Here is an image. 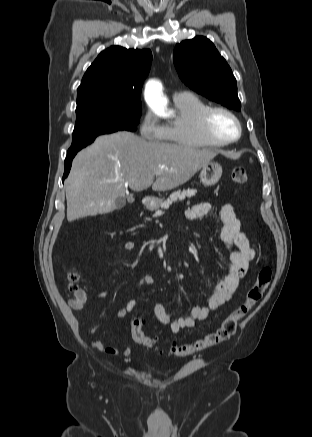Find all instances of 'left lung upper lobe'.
<instances>
[{"label": "left lung upper lobe", "instance_id": "1", "mask_svg": "<svg viewBox=\"0 0 312 437\" xmlns=\"http://www.w3.org/2000/svg\"><path fill=\"white\" fill-rule=\"evenodd\" d=\"M174 64L181 80L192 90L230 109L241 110L236 79L209 39L197 36L177 44Z\"/></svg>", "mask_w": 312, "mask_h": 437}]
</instances>
